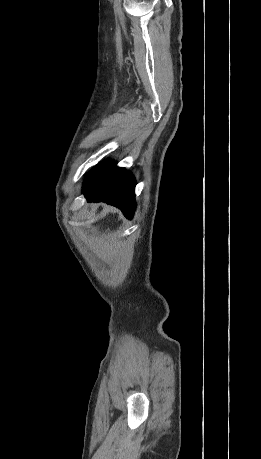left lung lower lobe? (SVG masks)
<instances>
[{
  "mask_svg": "<svg viewBox=\"0 0 261 459\" xmlns=\"http://www.w3.org/2000/svg\"><path fill=\"white\" fill-rule=\"evenodd\" d=\"M135 179L114 163L105 161L94 167L83 186L88 202H106L122 210L129 219L135 211Z\"/></svg>",
  "mask_w": 261,
  "mask_h": 459,
  "instance_id": "0a47b994",
  "label": "left lung lower lobe"
}]
</instances>
